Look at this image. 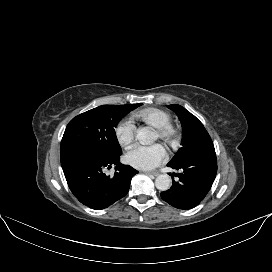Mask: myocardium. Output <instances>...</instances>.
<instances>
[{"mask_svg": "<svg viewBox=\"0 0 272 272\" xmlns=\"http://www.w3.org/2000/svg\"><path fill=\"white\" fill-rule=\"evenodd\" d=\"M158 139H160L167 147H174L180 140V130L169 123L162 127L156 128Z\"/></svg>", "mask_w": 272, "mask_h": 272, "instance_id": "1", "label": "myocardium"}]
</instances>
